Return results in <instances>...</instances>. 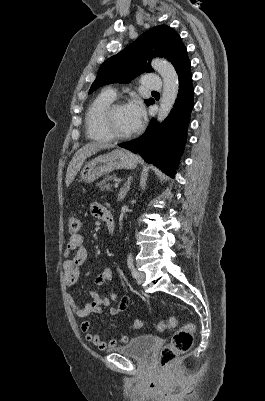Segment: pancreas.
Here are the masks:
<instances>
[{"label":"pancreas","mask_w":265,"mask_h":401,"mask_svg":"<svg viewBox=\"0 0 265 401\" xmlns=\"http://www.w3.org/2000/svg\"><path fill=\"white\" fill-rule=\"evenodd\" d=\"M115 178H118L116 174H107V176H104L103 180L98 182L97 186H99L100 190H111L112 184L109 180H115Z\"/></svg>","instance_id":"pancreas-1"}]
</instances>
